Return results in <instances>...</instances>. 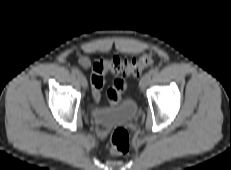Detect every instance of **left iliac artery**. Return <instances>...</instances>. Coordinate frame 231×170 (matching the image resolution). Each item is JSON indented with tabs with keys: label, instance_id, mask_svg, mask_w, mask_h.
Segmentation results:
<instances>
[{
	"label": "left iliac artery",
	"instance_id": "1",
	"mask_svg": "<svg viewBox=\"0 0 231 170\" xmlns=\"http://www.w3.org/2000/svg\"><path fill=\"white\" fill-rule=\"evenodd\" d=\"M157 72H158L157 68H153V69H151V70L149 71V74H150V75H156Z\"/></svg>",
	"mask_w": 231,
	"mask_h": 170
}]
</instances>
